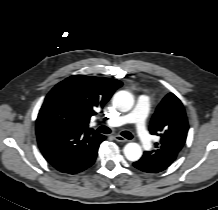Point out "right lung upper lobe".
Instances as JSON below:
<instances>
[{
	"mask_svg": "<svg viewBox=\"0 0 218 210\" xmlns=\"http://www.w3.org/2000/svg\"><path fill=\"white\" fill-rule=\"evenodd\" d=\"M122 82L111 78L74 75L58 83L48 94L62 99L72 110L78 130H90L91 116L103 108Z\"/></svg>",
	"mask_w": 218,
	"mask_h": 210,
	"instance_id": "cb5924a9",
	"label": "right lung upper lobe"
}]
</instances>
